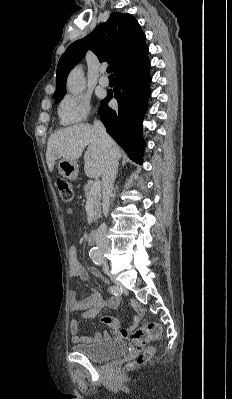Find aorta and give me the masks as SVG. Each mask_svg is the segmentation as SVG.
<instances>
[{
  "instance_id": "obj_1",
  "label": "aorta",
  "mask_w": 232,
  "mask_h": 399,
  "mask_svg": "<svg viewBox=\"0 0 232 399\" xmlns=\"http://www.w3.org/2000/svg\"><path fill=\"white\" fill-rule=\"evenodd\" d=\"M67 88L72 94H79L85 88L84 74L81 67L76 68L71 72L67 80ZM98 250L93 249L92 254H96Z\"/></svg>"
}]
</instances>
